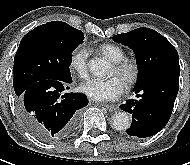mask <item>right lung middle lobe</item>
Instances as JSON below:
<instances>
[{"label":"right lung middle lobe","mask_w":190,"mask_h":165,"mask_svg":"<svg viewBox=\"0 0 190 165\" xmlns=\"http://www.w3.org/2000/svg\"><path fill=\"white\" fill-rule=\"evenodd\" d=\"M83 33L65 22L52 21L28 32L14 58L13 86L19 97L41 80L71 79L72 52L83 43Z\"/></svg>","instance_id":"1"}]
</instances>
